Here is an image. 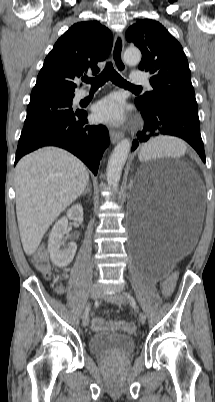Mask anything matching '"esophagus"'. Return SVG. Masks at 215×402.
Returning <instances> with one entry per match:
<instances>
[{"instance_id": "34e87169", "label": "esophagus", "mask_w": 215, "mask_h": 402, "mask_svg": "<svg viewBox=\"0 0 215 402\" xmlns=\"http://www.w3.org/2000/svg\"><path fill=\"white\" fill-rule=\"evenodd\" d=\"M123 51H124V36L122 33H117L114 37L111 59L114 67L121 73H124L126 71V65L123 60ZM122 137L123 133L121 131L116 130L110 131V139L113 144L118 142Z\"/></svg>"}]
</instances>
